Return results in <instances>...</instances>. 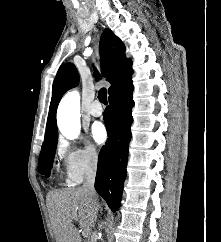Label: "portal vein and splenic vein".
Segmentation results:
<instances>
[{
  "mask_svg": "<svg viewBox=\"0 0 221 242\" xmlns=\"http://www.w3.org/2000/svg\"><path fill=\"white\" fill-rule=\"evenodd\" d=\"M89 234H90V230H84V232H83V236L84 237H88L89 236Z\"/></svg>",
  "mask_w": 221,
  "mask_h": 242,
  "instance_id": "obj_1",
  "label": "portal vein and splenic vein"
}]
</instances>
